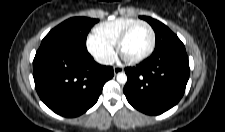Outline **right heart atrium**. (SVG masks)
<instances>
[{
  "label": "right heart atrium",
  "mask_w": 225,
  "mask_h": 132,
  "mask_svg": "<svg viewBox=\"0 0 225 132\" xmlns=\"http://www.w3.org/2000/svg\"><path fill=\"white\" fill-rule=\"evenodd\" d=\"M87 49L89 53L101 64L109 65L115 59V51L113 46L106 44L96 38L94 35H90L87 38Z\"/></svg>",
  "instance_id": "1"
}]
</instances>
